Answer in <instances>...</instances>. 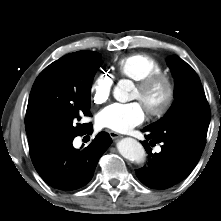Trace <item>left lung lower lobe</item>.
Returning <instances> with one entry per match:
<instances>
[{
  "mask_svg": "<svg viewBox=\"0 0 221 221\" xmlns=\"http://www.w3.org/2000/svg\"><path fill=\"white\" fill-rule=\"evenodd\" d=\"M144 131L148 132L142 141L149 154L146 165L136 170L139 180L153 189H167L186 178L198 163L202 151L194 147L177 141H156L152 138L147 127ZM161 143V152L152 153L149 144Z\"/></svg>",
  "mask_w": 221,
  "mask_h": 221,
  "instance_id": "left-lung-lower-lobe-1",
  "label": "left lung lower lobe"
}]
</instances>
